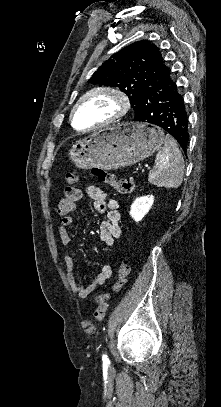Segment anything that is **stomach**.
<instances>
[{
    "instance_id": "stomach-1",
    "label": "stomach",
    "mask_w": 221,
    "mask_h": 407,
    "mask_svg": "<svg viewBox=\"0 0 221 407\" xmlns=\"http://www.w3.org/2000/svg\"><path fill=\"white\" fill-rule=\"evenodd\" d=\"M163 138L161 129L147 123H122L75 141L69 156L81 169L116 170L151 156L162 147Z\"/></svg>"
}]
</instances>
